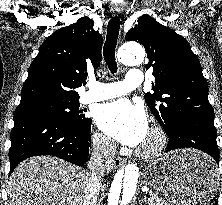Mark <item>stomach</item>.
<instances>
[{"mask_svg": "<svg viewBox=\"0 0 222 205\" xmlns=\"http://www.w3.org/2000/svg\"><path fill=\"white\" fill-rule=\"evenodd\" d=\"M145 182L162 192L170 205H206L218 188L211 159L197 150H178L152 162Z\"/></svg>", "mask_w": 222, "mask_h": 205, "instance_id": "obj_1", "label": "stomach"}]
</instances>
